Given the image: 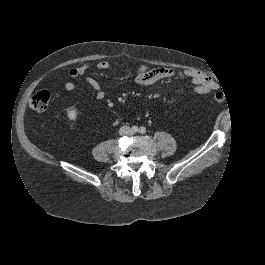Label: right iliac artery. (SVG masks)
Masks as SVG:
<instances>
[{"label":"right iliac artery","mask_w":265,"mask_h":265,"mask_svg":"<svg viewBox=\"0 0 265 265\" xmlns=\"http://www.w3.org/2000/svg\"><path fill=\"white\" fill-rule=\"evenodd\" d=\"M132 131H133L134 133L138 132V127H137V126H133V127H132Z\"/></svg>","instance_id":"right-iliac-artery-1"}]
</instances>
